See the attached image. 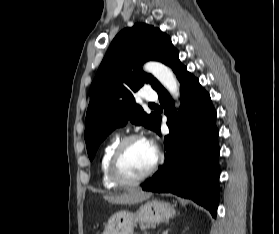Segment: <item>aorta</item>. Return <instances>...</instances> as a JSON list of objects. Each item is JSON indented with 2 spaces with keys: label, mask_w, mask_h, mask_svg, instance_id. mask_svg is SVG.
<instances>
[{
  "label": "aorta",
  "mask_w": 279,
  "mask_h": 234,
  "mask_svg": "<svg viewBox=\"0 0 279 234\" xmlns=\"http://www.w3.org/2000/svg\"><path fill=\"white\" fill-rule=\"evenodd\" d=\"M144 70L154 75V77L172 94L174 99L178 100L179 83L172 72L166 65L160 62H148L144 65Z\"/></svg>",
  "instance_id": "aorta-1"
}]
</instances>
